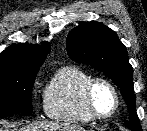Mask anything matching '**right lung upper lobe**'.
Instances as JSON below:
<instances>
[{
    "instance_id": "right-lung-upper-lobe-1",
    "label": "right lung upper lobe",
    "mask_w": 147,
    "mask_h": 131,
    "mask_svg": "<svg viewBox=\"0 0 147 131\" xmlns=\"http://www.w3.org/2000/svg\"><path fill=\"white\" fill-rule=\"evenodd\" d=\"M49 52L48 42L11 45L0 53V71H38Z\"/></svg>"
}]
</instances>
